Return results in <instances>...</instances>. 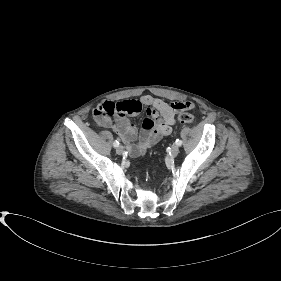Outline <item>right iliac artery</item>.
Wrapping results in <instances>:
<instances>
[{"instance_id": "82829eb1", "label": "right iliac artery", "mask_w": 281, "mask_h": 281, "mask_svg": "<svg viewBox=\"0 0 281 281\" xmlns=\"http://www.w3.org/2000/svg\"><path fill=\"white\" fill-rule=\"evenodd\" d=\"M113 146L114 147H118L119 146V142L117 140H115L114 143H113Z\"/></svg>"}]
</instances>
